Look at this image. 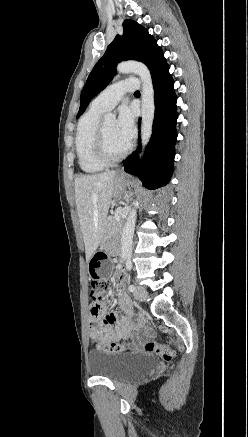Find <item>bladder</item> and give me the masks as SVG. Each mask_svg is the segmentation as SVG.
I'll list each match as a JSON object with an SVG mask.
<instances>
[{"instance_id": "31cf9c89", "label": "bladder", "mask_w": 248, "mask_h": 437, "mask_svg": "<svg viewBox=\"0 0 248 437\" xmlns=\"http://www.w3.org/2000/svg\"><path fill=\"white\" fill-rule=\"evenodd\" d=\"M90 372L94 376L121 382L150 373L156 366L152 356L141 352L112 353L91 351L88 354Z\"/></svg>"}]
</instances>
